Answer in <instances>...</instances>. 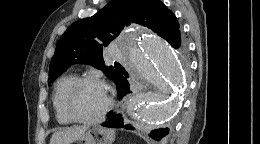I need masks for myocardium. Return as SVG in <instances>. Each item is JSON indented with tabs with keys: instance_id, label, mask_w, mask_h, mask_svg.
Wrapping results in <instances>:
<instances>
[{
	"instance_id": "f54148a6",
	"label": "myocardium",
	"mask_w": 260,
	"mask_h": 144,
	"mask_svg": "<svg viewBox=\"0 0 260 144\" xmlns=\"http://www.w3.org/2000/svg\"><path fill=\"white\" fill-rule=\"evenodd\" d=\"M87 83H94L103 88L105 92L106 103L103 109L100 111V113L97 114L96 116L91 118H82L77 116L73 111L72 102L79 88ZM111 106H112V98L109 94L107 85L103 80L94 76H85V77L78 78L68 89L64 98V111L66 115L69 117V119L72 122H76L80 124H94L99 122L106 115V113L109 111Z\"/></svg>"
}]
</instances>
